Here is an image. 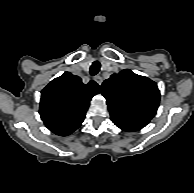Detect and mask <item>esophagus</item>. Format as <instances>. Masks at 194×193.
I'll return each mask as SVG.
<instances>
[{
  "instance_id": "esophagus-1",
  "label": "esophagus",
  "mask_w": 194,
  "mask_h": 193,
  "mask_svg": "<svg viewBox=\"0 0 194 193\" xmlns=\"http://www.w3.org/2000/svg\"><path fill=\"white\" fill-rule=\"evenodd\" d=\"M94 80L96 81V83H97L98 85H101L102 82H103L102 77L99 76V75L95 76V77H94Z\"/></svg>"
}]
</instances>
